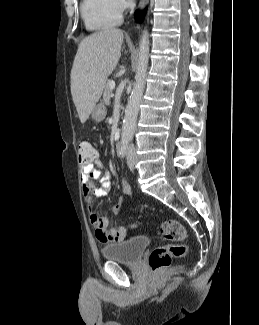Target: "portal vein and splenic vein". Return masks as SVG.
Masks as SVG:
<instances>
[{
	"instance_id": "18ae733b",
	"label": "portal vein and splenic vein",
	"mask_w": 259,
	"mask_h": 325,
	"mask_svg": "<svg viewBox=\"0 0 259 325\" xmlns=\"http://www.w3.org/2000/svg\"><path fill=\"white\" fill-rule=\"evenodd\" d=\"M109 86H110L111 89H114L115 88V82L114 81H111L109 83Z\"/></svg>"
}]
</instances>
